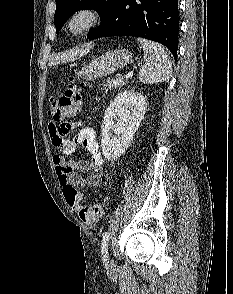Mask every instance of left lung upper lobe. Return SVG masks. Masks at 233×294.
<instances>
[{"label":"left lung upper lobe","mask_w":233,"mask_h":294,"mask_svg":"<svg viewBox=\"0 0 233 294\" xmlns=\"http://www.w3.org/2000/svg\"><path fill=\"white\" fill-rule=\"evenodd\" d=\"M116 0H56L54 24L59 31L63 24L78 10L94 9L101 16L102 22L109 14ZM94 30L87 35L89 38Z\"/></svg>","instance_id":"left-lung-upper-lobe-1"}]
</instances>
